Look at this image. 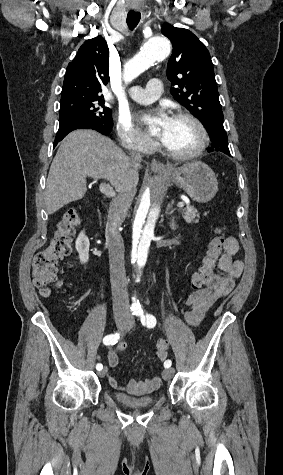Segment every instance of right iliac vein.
Returning <instances> with one entry per match:
<instances>
[{
  "label": "right iliac vein",
  "mask_w": 283,
  "mask_h": 475,
  "mask_svg": "<svg viewBox=\"0 0 283 475\" xmlns=\"http://www.w3.org/2000/svg\"><path fill=\"white\" fill-rule=\"evenodd\" d=\"M127 317L123 315H118L115 317V322L118 327L126 326L127 324ZM107 370L104 368L102 371L99 372L100 377H104L106 375Z\"/></svg>",
  "instance_id": "obj_1"
}]
</instances>
